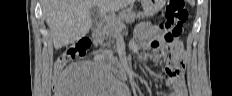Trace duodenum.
<instances>
[{
  "instance_id": "1",
  "label": "duodenum",
  "mask_w": 232,
  "mask_h": 96,
  "mask_svg": "<svg viewBox=\"0 0 232 96\" xmlns=\"http://www.w3.org/2000/svg\"><path fill=\"white\" fill-rule=\"evenodd\" d=\"M99 33V29H95L93 35H97ZM111 67L115 70L116 74L119 77H126L127 76V68L124 64H117L115 62H111Z\"/></svg>"
}]
</instances>
